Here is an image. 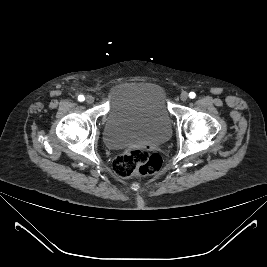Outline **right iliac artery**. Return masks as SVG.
Here are the masks:
<instances>
[{
  "label": "right iliac artery",
  "mask_w": 267,
  "mask_h": 267,
  "mask_svg": "<svg viewBox=\"0 0 267 267\" xmlns=\"http://www.w3.org/2000/svg\"><path fill=\"white\" fill-rule=\"evenodd\" d=\"M84 99H85V98H84L83 95H79V97H78V100H79V101H84Z\"/></svg>",
  "instance_id": "right-iliac-artery-1"
}]
</instances>
